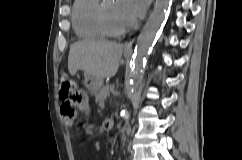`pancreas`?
<instances>
[{"instance_id":"1","label":"pancreas","mask_w":242,"mask_h":160,"mask_svg":"<svg viewBox=\"0 0 242 160\" xmlns=\"http://www.w3.org/2000/svg\"><path fill=\"white\" fill-rule=\"evenodd\" d=\"M114 88V85H106L104 86L96 95H95V102L98 103L100 106L104 104L105 99L109 95L111 89Z\"/></svg>"}]
</instances>
